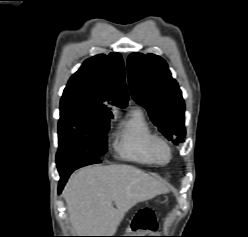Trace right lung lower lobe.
<instances>
[{"instance_id": "1", "label": "right lung lower lobe", "mask_w": 248, "mask_h": 237, "mask_svg": "<svg viewBox=\"0 0 248 237\" xmlns=\"http://www.w3.org/2000/svg\"><path fill=\"white\" fill-rule=\"evenodd\" d=\"M57 168L60 173V181H59V193L62 191L65 183L68 180V177L70 174L83 166L94 164V163H100V159L98 157L90 156L87 154L80 155V156H63L58 157L57 156Z\"/></svg>"}]
</instances>
